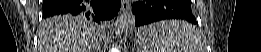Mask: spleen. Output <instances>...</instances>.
Instances as JSON below:
<instances>
[{
	"instance_id": "1",
	"label": "spleen",
	"mask_w": 261,
	"mask_h": 52,
	"mask_svg": "<svg viewBox=\"0 0 261 52\" xmlns=\"http://www.w3.org/2000/svg\"><path fill=\"white\" fill-rule=\"evenodd\" d=\"M140 52H203L199 33L184 21H161L137 34Z\"/></svg>"
}]
</instances>
